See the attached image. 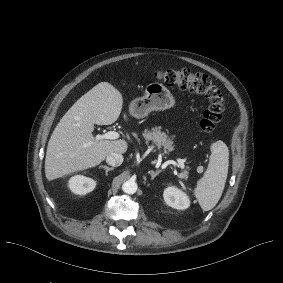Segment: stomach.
I'll return each instance as SVG.
<instances>
[{
	"label": "stomach",
	"mask_w": 283,
	"mask_h": 283,
	"mask_svg": "<svg viewBox=\"0 0 283 283\" xmlns=\"http://www.w3.org/2000/svg\"><path fill=\"white\" fill-rule=\"evenodd\" d=\"M175 100L170 91L160 83H150L145 95L134 99L129 106V113L135 118H144L151 111L165 110L174 106Z\"/></svg>",
	"instance_id": "stomach-1"
}]
</instances>
